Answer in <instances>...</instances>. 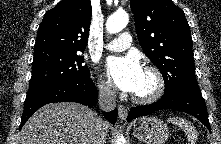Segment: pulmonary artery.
<instances>
[{"instance_id": "pulmonary-artery-1", "label": "pulmonary artery", "mask_w": 221, "mask_h": 144, "mask_svg": "<svg viewBox=\"0 0 221 144\" xmlns=\"http://www.w3.org/2000/svg\"><path fill=\"white\" fill-rule=\"evenodd\" d=\"M131 35L128 32H123L118 38L110 41L105 45V48L109 51L119 52L126 50L131 45Z\"/></svg>"}]
</instances>
